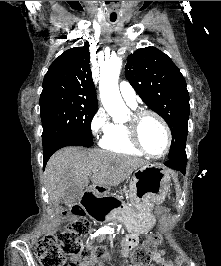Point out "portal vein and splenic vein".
Instances as JSON below:
<instances>
[{"label":"portal vein and splenic vein","mask_w":221,"mask_h":266,"mask_svg":"<svg viewBox=\"0 0 221 266\" xmlns=\"http://www.w3.org/2000/svg\"><path fill=\"white\" fill-rule=\"evenodd\" d=\"M92 172L96 173V172H98V169H93Z\"/></svg>","instance_id":"portal-vein-and-splenic-vein-1"}]
</instances>
